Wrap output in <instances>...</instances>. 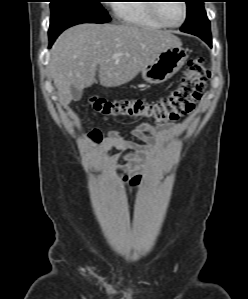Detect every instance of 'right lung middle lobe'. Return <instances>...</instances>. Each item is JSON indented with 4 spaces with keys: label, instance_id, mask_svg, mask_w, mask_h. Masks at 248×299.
<instances>
[{
    "label": "right lung middle lobe",
    "instance_id": "right-lung-middle-lobe-1",
    "mask_svg": "<svg viewBox=\"0 0 248 299\" xmlns=\"http://www.w3.org/2000/svg\"><path fill=\"white\" fill-rule=\"evenodd\" d=\"M100 2L101 0H51L50 45L62 31L73 25L109 22L110 17Z\"/></svg>",
    "mask_w": 248,
    "mask_h": 299
}]
</instances>
